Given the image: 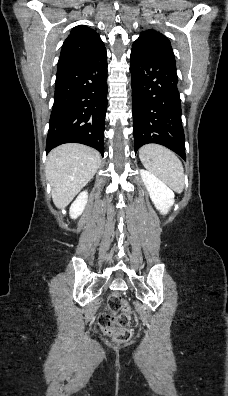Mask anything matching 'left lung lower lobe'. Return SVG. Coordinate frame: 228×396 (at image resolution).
Masks as SVG:
<instances>
[{"mask_svg": "<svg viewBox=\"0 0 228 396\" xmlns=\"http://www.w3.org/2000/svg\"><path fill=\"white\" fill-rule=\"evenodd\" d=\"M130 59L135 152L145 144L157 143L186 159L174 55L152 44L134 42Z\"/></svg>", "mask_w": 228, "mask_h": 396, "instance_id": "left-lung-lower-lobe-1", "label": "left lung lower lobe"}]
</instances>
